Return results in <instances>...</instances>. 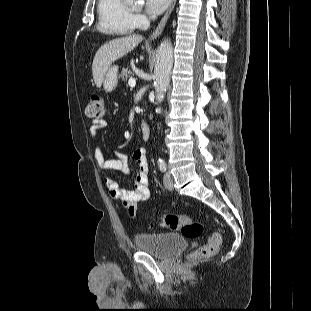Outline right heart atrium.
Listing matches in <instances>:
<instances>
[{"mask_svg":"<svg viewBox=\"0 0 311 311\" xmlns=\"http://www.w3.org/2000/svg\"><path fill=\"white\" fill-rule=\"evenodd\" d=\"M134 19H135V22L137 24H143L144 23V17L142 15H140V14H136L134 16Z\"/></svg>","mask_w":311,"mask_h":311,"instance_id":"1","label":"right heart atrium"}]
</instances>
